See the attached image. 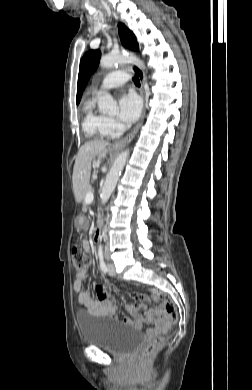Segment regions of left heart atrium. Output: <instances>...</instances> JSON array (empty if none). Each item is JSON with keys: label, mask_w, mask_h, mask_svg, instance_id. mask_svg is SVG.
Masks as SVG:
<instances>
[{"label": "left heart atrium", "mask_w": 252, "mask_h": 390, "mask_svg": "<svg viewBox=\"0 0 252 390\" xmlns=\"http://www.w3.org/2000/svg\"><path fill=\"white\" fill-rule=\"evenodd\" d=\"M141 112V101L133 93L123 94L118 100V117L126 124L137 120Z\"/></svg>", "instance_id": "left-heart-atrium-1"}]
</instances>
